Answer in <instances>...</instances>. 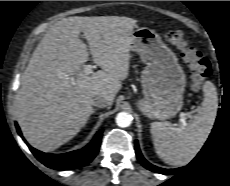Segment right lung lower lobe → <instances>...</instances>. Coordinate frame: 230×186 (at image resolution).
I'll list each match as a JSON object with an SVG mask.
<instances>
[{"instance_id":"right-lung-lower-lobe-1","label":"right lung lower lobe","mask_w":230,"mask_h":186,"mask_svg":"<svg viewBox=\"0 0 230 186\" xmlns=\"http://www.w3.org/2000/svg\"><path fill=\"white\" fill-rule=\"evenodd\" d=\"M17 131L22 137L21 131L16 124ZM102 130H100L94 139L83 149L64 153V154H50L38 151L28 145L34 156L44 165L56 170H70L82 167L90 163L96 156L99 150Z\"/></svg>"}]
</instances>
